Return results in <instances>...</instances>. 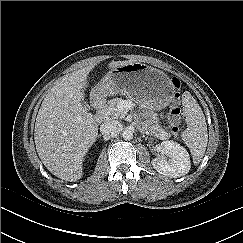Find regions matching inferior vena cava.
<instances>
[{
  "mask_svg": "<svg viewBox=\"0 0 243 243\" xmlns=\"http://www.w3.org/2000/svg\"><path fill=\"white\" fill-rule=\"evenodd\" d=\"M123 130L122 124L117 120H111L103 123L100 132L105 137H115Z\"/></svg>",
  "mask_w": 243,
  "mask_h": 243,
  "instance_id": "1",
  "label": "inferior vena cava"
}]
</instances>
